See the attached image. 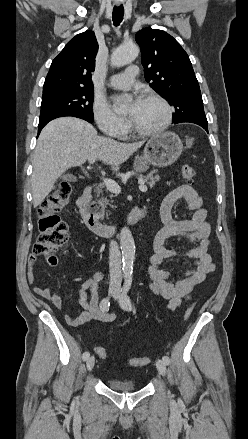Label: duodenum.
Returning a JSON list of instances; mask_svg holds the SVG:
<instances>
[{
    "label": "duodenum",
    "mask_w": 248,
    "mask_h": 439,
    "mask_svg": "<svg viewBox=\"0 0 248 439\" xmlns=\"http://www.w3.org/2000/svg\"><path fill=\"white\" fill-rule=\"evenodd\" d=\"M94 190L95 187L93 184L86 185L77 200V206L83 222L95 234L103 236L114 235L122 227L133 225L141 220L147 213L145 208L135 207L129 212L124 221L120 223H103L100 220V207L91 201Z\"/></svg>",
    "instance_id": "1"
}]
</instances>
